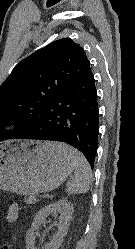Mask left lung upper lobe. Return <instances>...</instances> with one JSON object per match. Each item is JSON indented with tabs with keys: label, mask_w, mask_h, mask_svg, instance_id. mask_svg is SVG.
Wrapping results in <instances>:
<instances>
[{
	"label": "left lung upper lobe",
	"mask_w": 135,
	"mask_h": 249,
	"mask_svg": "<svg viewBox=\"0 0 135 249\" xmlns=\"http://www.w3.org/2000/svg\"><path fill=\"white\" fill-rule=\"evenodd\" d=\"M90 72L84 49L70 38L56 40L19 62L0 86V131L11 124L17 130L0 133V141L34 130L47 107Z\"/></svg>",
	"instance_id": "left-lung-upper-lobe-1"
}]
</instances>
